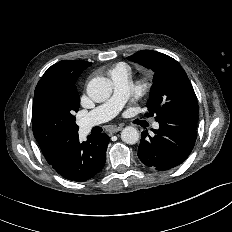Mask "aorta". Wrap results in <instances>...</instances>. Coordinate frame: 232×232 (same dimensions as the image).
Returning <instances> with one entry per match:
<instances>
[{"label":"aorta","instance_id":"762f6f07","mask_svg":"<svg viewBox=\"0 0 232 232\" xmlns=\"http://www.w3.org/2000/svg\"><path fill=\"white\" fill-rule=\"evenodd\" d=\"M112 93V82L105 77H95L87 85V94L94 102L107 100ZM121 139L127 144H135L139 140V131L132 126L125 127Z\"/></svg>","mask_w":232,"mask_h":232}]
</instances>
